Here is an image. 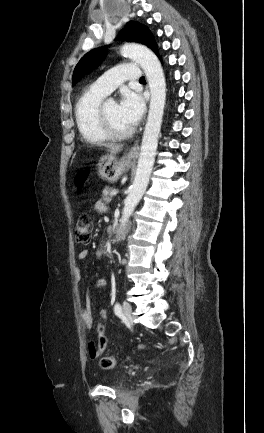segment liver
<instances>
[{
	"label": "liver",
	"instance_id": "6515ba94",
	"mask_svg": "<svg viewBox=\"0 0 264 433\" xmlns=\"http://www.w3.org/2000/svg\"><path fill=\"white\" fill-rule=\"evenodd\" d=\"M100 145H103V146L109 148V149H110V152H111L112 154H116V153H118L119 151H121V149H122V146H121V145H115V144H111V143H108V144H100Z\"/></svg>",
	"mask_w": 264,
	"mask_h": 433
}]
</instances>
